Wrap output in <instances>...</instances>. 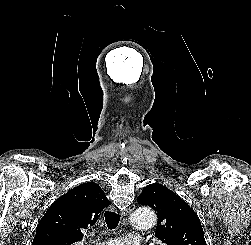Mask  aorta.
<instances>
[{
  "label": "aorta",
  "mask_w": 251,
  "mask_h": 245,
  "mask_svg": "<svg viewBox=\"0 0 251 245\" xmlns=\"http://www.w3.org/2000/svg\"><path fill=\"white\" fill-rule=\"evenodd\" d=\"M132 226L144 230L156 224V215L149 207H138L132 214Z\"/></svg>",
  "instance_id": "obj_1"
}]
</instances>
